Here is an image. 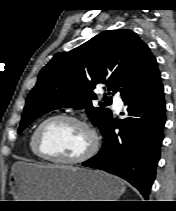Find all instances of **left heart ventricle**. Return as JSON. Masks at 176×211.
Masks as SVG:
<instances>
[{"mask_svg": "<svg viewBox=\"0 0 176 211\" xmlns=\"http://www.w3.org/2000/svg\"><path fill=\"white\" fill-rule=\"evenodd\" d=\"M88 131L71 121L58 120L48 124L41 133L43 149L53 156L75 158L90 146Z\"/></svg>", "mask_w": 176, "mask_h": 211, "instance_id": "1", "label": "left heart ventricle"}]
</instances>
